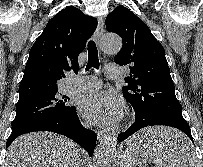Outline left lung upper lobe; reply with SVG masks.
I'll return each mask as SVG.
<instances>
[{
	"mask_svg": "<svg viewBox=\"0 0 203 167\" xmlns=\"http://www.w3.org/2000/svg\"><path fill=\"white\" fill-rule=\"evenodd\" d=\"M106 28L123 41L114 61L130 68V75L125 78L128 85L122 90L124 98L134 108L135 116L151 119L182 115L164 48L148 26L129 9L119 6L107 16Z\"/></svg>",
	"mask_w": 203,
	"mask_h": 167,
	"instance_id": "5c2ea615",
	"label": "left lung upper lobe"
}]
</instances>
